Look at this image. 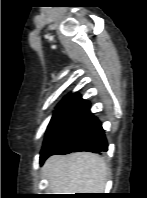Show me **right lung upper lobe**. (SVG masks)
Here are the masks:
<instances>
[{
    "label": "right lung upper lobe",
    "instance_id": "1",
    "mask_svg": "<svg viewBox=\"0 0 147 198\" xmlns=\"http://www.w3.org/2000/svg\"><path fill=\"white\" fill-rule=\"evenodd\" d=\"M84 100L81 98L80 95L77 93L69 94L66 96L62 102L58 105V107H73L75 108L80 103H82Z\"/></svg>",
    "mask_w": 147,
    "mask_h": 198
}]
</instances>
